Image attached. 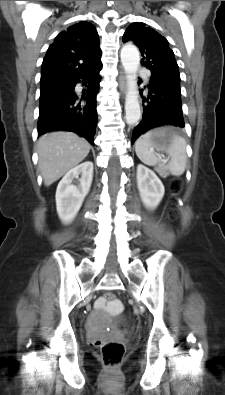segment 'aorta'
Masks as SVG:
<instances>
[{
	"label": "aorta",
	"instance_id": "aorta-1",
	"mask_svg": "<svg viewBox=\"0 0 225 395\" xmlns=\"http://www.w3.org/2000/svg\"><path fill=\"white\" fill-rule=\"evenodd\" d=\"M121 63L127 77V93L125 98V119L127 124L135 125L141 118V109L137 91V71L140 54L136 46L127 44L121 49Z\"/></svg>",
	"mask_w": 225,
	"mask_h": 395
}]
</instances>
